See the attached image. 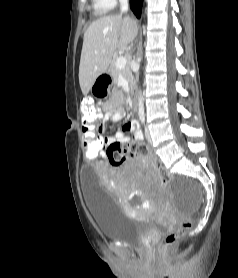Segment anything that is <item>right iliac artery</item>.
<instances>
[{
  "mask_svg": "<svg viewBox=\"0 0 238 278\" xmlns=\"http://www.w3.org/2000/svg\"><path fill=\"white\" fill-rule=\"evenodd\" d=\"M139 118H140L141 122L144 124L145 123V115H144V113H140L139 114Z\"/></svg>",
  "mask_w": 238,
  "mask_h": 278,
  "instance_id": "obj_1",
  "label": "right iliac artery"
}]
</instances>
